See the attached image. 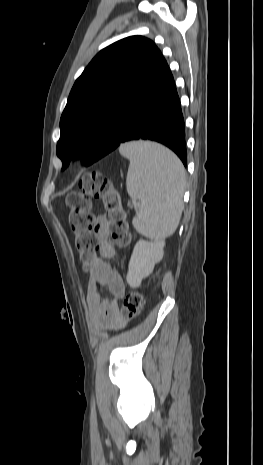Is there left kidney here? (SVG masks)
Instances as JSON below:
<instances>
[{"instance_id": "obj_1", "label": "left kidney", "mask_w": 263, "mask_h": 465, "mask_svg": "<svg viewBox=\"0 0 263 465\" xmlns=\"http://www.w3.org/2000/svg\"><path fill=\"white\" fill-rule=\"evenodd\" d=\"M164 240L146 241L140 239L133 250L126 277L127 283L132 288L140 286L142 279L148 277L156 263L164 254Z\"/></svg>"}]
</instances>
